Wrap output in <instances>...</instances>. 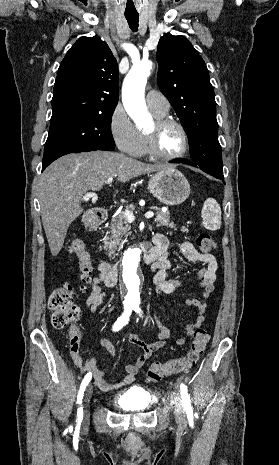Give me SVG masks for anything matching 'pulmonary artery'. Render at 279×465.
Instances as JSON below:
<instances>
[{"instance_id": "1", "label": "pulmonary artery", "mask_w": 279, "mask_h": 465, "mask_svg": "<svg viewBox=\"0 0 279 465\" xmlns=\"http://www.w3.org/2000/svg\"><path fill=\"white\" fill-rule=\"evenodd\" d=\"M146 104L149 109L160 113H167L170 107L167 98L156 90H151L147 93Z\"/></svg>"}]
</instances>
